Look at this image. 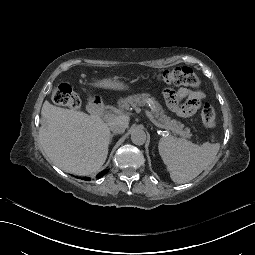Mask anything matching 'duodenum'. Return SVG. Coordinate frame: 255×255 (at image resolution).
<instances>
[{"label": "duodenum", "instance_id": "duodenum-1", "mask_svg": "<svg viewBox=\"0 0 255 255\" xmlns=\"http://www.w3.org/2000/svg\"><path fill=\"white\" fill-rule=\"evenodd\" d=\"M87 110L93 117H101L105 106L100 96H91L87 102Z\"/></svg>", "mask_w": 255, "mask_h": 255}]
</instances>
